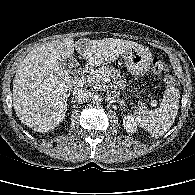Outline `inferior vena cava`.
I'll list each match as a JSON object with an SVG mask.
<instances>
[{"label":"inferior vena cava","mask_w":195,"mask_h":195,"mask_svg":"<svg viewBox=\"0 0 195 195\" xmlns=\"http://www.w3.org/2000/svg\"><path fill=\"white\" fill-rule=\"evenodd\" d=\"M91 97V92L86 88H75L73 91V100L78 104L85 103Z\"/></svg>","instance_id":"1"}]
</instances>
